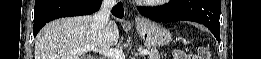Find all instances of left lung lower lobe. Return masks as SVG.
<instances>
[{
    "instance_id": "obj_1",
    "label": "left lung lower lobe",
    "mask_w": 261,
    "mask_h": 59,
    "mask_svg": "<svg viewBox=\"0 0 261 59\" xmlns=\"http://www.w3.org/2000/svg\"><path fill=\"white\" fill-rule=\"evenodd\" d=\"M137 9L141 15L160 22L188 20L201 23L220 42V0H171L162 8Z\"/></svg>"
}]
</instances>
